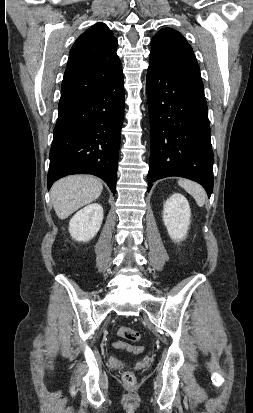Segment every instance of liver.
I'll return each instance as SVG.
<instances>
[{
    "instance_id": "liver-1",
    "label": "liver",
    "mask_w": 253,
    "mask_h": 413,
    "mask_svg": "<svg viewBox=\"0 0 253 413\" xmlns=\"http://www.w3.org/2000/svg\"><path fill=\"white\" fill-rule=\"evenodd\" d=\"M100 180L87 175L62 178L51 188V202L60 219H65L79 208L95 201L102 193Z\"/></svg>"
}]
</instances>
